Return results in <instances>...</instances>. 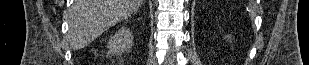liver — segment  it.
<instances>
[{
  "label": "liver",
  "instance_id": "obj_1",
  "mask_svg": "<svg viewBox=\"0 0 309 65\" xmlns=\"http://www.w3.org/2000/svg\"><path fill=\"white\" fill-rule=\"evenodd\" d=\"M143 0H75L69 14L68 38L74 50L82 49L104 31L128 18Z\"/></svg>",
  "mask_w": 309,
  "mask_h": 65
}]
</instances>
